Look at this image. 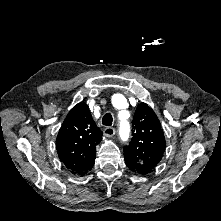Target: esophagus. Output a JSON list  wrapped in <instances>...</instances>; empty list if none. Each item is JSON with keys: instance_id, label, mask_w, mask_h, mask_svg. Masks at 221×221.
I'll list each match as a JSON object with an SVG mask.
<instances>
[{"instance_id": "1", "label": "esophagus", "mask_w": 221, "mask_h": 221, "mask_svg": "<svg viewBox=\"0 0 221 221\" xmlns=\"http://www.w3.org/2000/svg\"><path fill=\"white\" fill-rule=\"evenodd\" d=\"M116 130L113 127H107L104 129V135L106 137H112L115 134Z\"/></svg>"}]
</instances>
